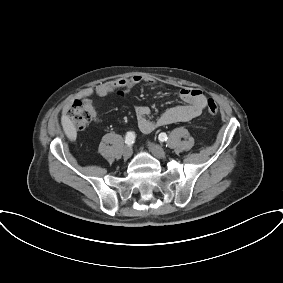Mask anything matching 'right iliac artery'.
<instances>
[{
    "instance_id": "obj_1",
    "label": "right iliac artery",
    "mask_w": 283,
    "mask_h": 283,
    "mask_svg": "<svg viewBox=\"0 0 283 283\" xmlns=\"http://www.w3.org/2000/svg\"><path fill=\"white\" fill-rule=\"evenodd\" d=\"M135 141V133L134 132H128L126 134V138H125V143L130 146L134 143Z\"/></svg>"
}]
</instances>
